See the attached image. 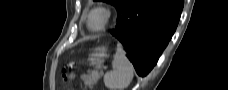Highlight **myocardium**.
<instances>
[{
	"mask_svg": "<svg viewBox=\"0 0 228 90\" xmlns=\"http://www.w3.org/2000/svg\"><path fill=\"white\" fill-rule=\"evenodd\" d=\"M95 12H100L102 14L103 21H102V24L100 25V27L91 28L90 27V18ZM111 15L112 14H111L110 9L106 6L99 5V6L92 8L87 15V20H86L87 28L92 32H100V31L104 30L108 26V24L111 20Z\"/></svg>",
	"mask_w": 228,
	"mask_h": 90,
	"instance_id": "obj_1",
	"label": "myocardium"
}]
</instances>
